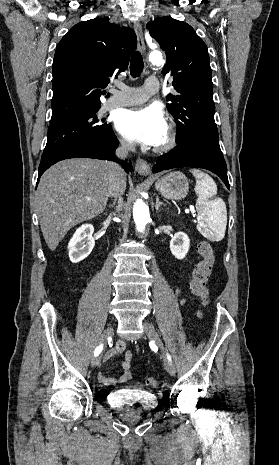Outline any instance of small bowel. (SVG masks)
Instances as JSON below:
<instances>
[{
	"label": "small bowel",
	"instance_id": "small-bowel-1",
	"mask_svg": "<svg viewBox=\"0 0 279 465\" xmlns=\"http://www.w3.org/2000/svg\"><path fill=\"white\" fill-rule=\"evenodd\" d=\"M184 300H182L183 302ZM124 353L121 365L124 369V373L119 377H109L103 372L99 373V380L104 385L113 386L118 383H125L133 377V372L131 371V362L133 354L130 350H127L126 342L119 340L116 342L115 346L106 352L104 359L108 360L117 354Z\"/></svg>",
	"mask_w": 279,
	"mask_h": 465
}]
</instances>
